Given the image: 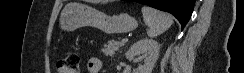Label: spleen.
I'll use <instances>...</instances> for the list:
<instances>
[{
    "label": "spleen",
    "instance_id": "3e777b00",
    "mask_svg": "<svg viewBox=\"0 0 244 73\" xmlns=\"http://www.w3.org/2000/svg\"><path fill=\"white\" fill-rule=\"evenodd\" d=\"M141 11L143 20L148 26L147 35L150 38L161 35L173 24L171 15L167 13L158 11L148 6H143Z\"/></svg>",
    "mask_w": 244,
    "mask_h": 73
}]
</instances>
